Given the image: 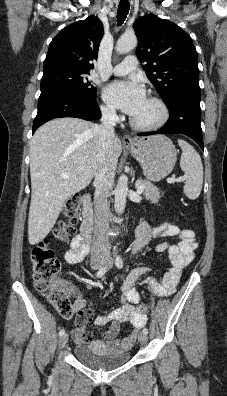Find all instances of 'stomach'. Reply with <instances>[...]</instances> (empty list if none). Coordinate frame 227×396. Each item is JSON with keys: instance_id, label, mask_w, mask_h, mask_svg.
Here are the masks:
<instances>
[{"instance_id": "obj_1", "label": "stomach", "mask_w": 227, "mask_h": 396, "mask_svg": "<svg viewBox=\"0 0 227 396\" xmlns=\"http://www.w3.org/2000/svg\"><path fill=\"white\" fill-rule=\"evenodd\" d=\"M127 149L141 164L144 176L153 182L168 176L177 160L175 146L164 135L141 138Z\"/></svg>"}]
</instances>
